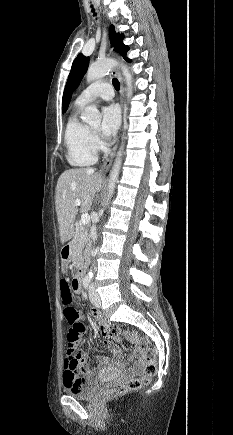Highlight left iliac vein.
<instances>
[{"label": "left iliac vein", "mask_w": 233, "mask_h": 435, "mask_svg": "<svg viewBox=\"0 0 233 435\" xmlns=\"http://www.w3.org/2000/svg\"><path fill=\"white\" fill-rule=\"evenodd\" d=\"M89 296H90L91 303L96 307H100L101 299H100V296L95 291V288L93 285H90V287H89Z\"/></svg>", "instance_id": "4c4485c4"}]
</instances>
